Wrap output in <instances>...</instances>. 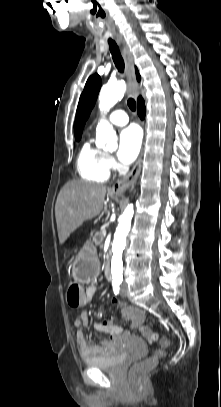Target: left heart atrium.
<instances>
[{
  "label": "left heart atrium",
  "instance_id": "left-heart-atrium-1",
  "mask_svg": "<svg viewBox=\"0 0 221 407\" xmlns=\"http://www.w3.org/2000/svg\"><path fill=\"white\" fill-rule=\"evenodd\" d=\"M141 147V133L136 126L125 128L119 137L118 159L124 164L132 163Z\"/></svg>",
  "mask_w": 221,
  "mask_h": 407
}]
</instances>
